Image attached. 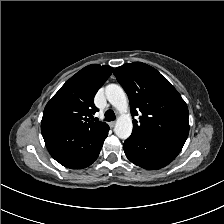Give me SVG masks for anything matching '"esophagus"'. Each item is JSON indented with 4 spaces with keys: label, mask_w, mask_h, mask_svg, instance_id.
I'll return each mask as SVG.
<instances>
[{
    "label": "esophagus",
    "mask_w": 224,
    "mask_h": 224,
    "mask_svg": "<svg viewBox=\"0 0 224 224\" xmlns=\"http://www.w3.org/2000/svg\"><path fill=\"white\" fill-rule=\"evenodd\" d=\"M109 126H110L111 128H113V127L115 126V121H111V122H109Z\"/></svg>",
    "instance_id": "obj_1"
}]
</instances>
